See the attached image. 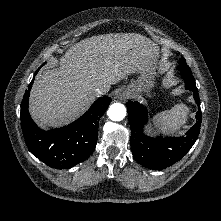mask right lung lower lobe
<instances>
[{"instance_id":"obj_1","label":"right lung lower lobe","mask_w":221,"mask_h":221,"mask_svg":"<svg viewBox=\"0 0 221 221\" xmlns=\"http://www.w3.org/2000/svg\"><path fill=\"white\" fill-rule=\"evenodd\" d=\"M32 83L33 80L23 97L20 113L21 127L29 151L56 169H68L85 161L96 147L99 120L110 105L111 98L100 97L75 122L59 129L44 131L33 122L28 112Z\"/></svg>"}]
</instances>
